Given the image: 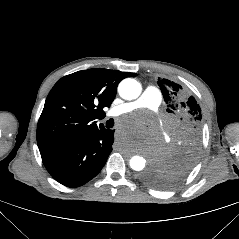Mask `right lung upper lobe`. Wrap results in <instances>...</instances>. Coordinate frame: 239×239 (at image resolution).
<instances>
[{
    "label": "right lung upper lobe",
    "instance_id": "cb5924a9",
    "mask_svg": "<svg viewBox=\"0 0 239 239\" xmlns=\"http://www.w3.org/2000/svg\"><path fill=\"white\" fill-rule=\"evenodd\" d=\"M136 73L94 68L61 78L47 96L37 126L40 154L79 141L97 129L96 118L105 114L119 82Z\"/></svg>",
    "mask_w": 239,
    "mask_h": 239
}]
</instances>
